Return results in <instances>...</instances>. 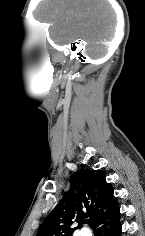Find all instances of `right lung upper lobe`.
Masks as SVG:
<instances>
[{
  "instance_id": "cb5924a9",
  "label": "right lung upper lobe",
  "mask_w": 145,
  "mask_h": 236,
  "mask_svg": "<svg viewBox=\"0 0 145 236\" xmlns=\"http://www.w3.org/2000/svg\"><path fill=\"white\" fill-rule=\"evenodd\" d=\"M70 190L42 223L36 236H72L90 218L94 230L113 214L118 202L101 170H78L70 178ZM78 223V227L74 224Z\"/></svg>"
}]
</instances>
